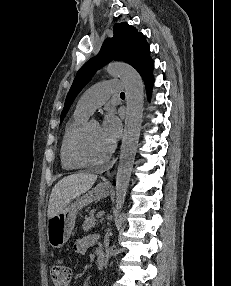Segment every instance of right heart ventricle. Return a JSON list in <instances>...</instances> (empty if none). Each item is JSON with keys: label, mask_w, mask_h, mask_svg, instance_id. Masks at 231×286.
Returning a JSON list of instances; mask_svg holds the SVG:
<instances>
[{"label": "right heart ventricle", "mask_w": 231, "mask_h": 286, "mask_svg": "<svg viewBox=\"0 0 231 286\" xmlns=\"http://www.w3.org/2000/svg\"><path fill=\"white\" fill-rule=\"evenodd\" d=\"M89 114L76 108L72 117L67 122L63 136L60 143L59 158L63 169L68 171H75L80 169L82 166L73 161L70 155V144L71 140L79 129V127L88 119Z\"/></svg>", "instance_id": "obj_1"}]
</instances>
